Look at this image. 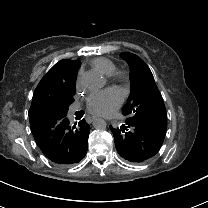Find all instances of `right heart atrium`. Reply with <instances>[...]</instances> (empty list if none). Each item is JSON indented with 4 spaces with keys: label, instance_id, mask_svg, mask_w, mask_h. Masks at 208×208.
Listing matches in <instances>:
<instances>
[{
    "label": "right heart atrium",
    "instance_id": "obj_1",
    "mask_svg": "<svg viewBox=\"0 0 208 208\" xmlns=\"http://www.w3.org/2000/svg\"><path fill=\"white\" fill-rule=\"evenodd\" d=\"M75 89L77 92L82 91V72H78L75 79Z\"/></svg>",
    "mask_w": 208,
    "mask_h": 208
}]
</instances>
